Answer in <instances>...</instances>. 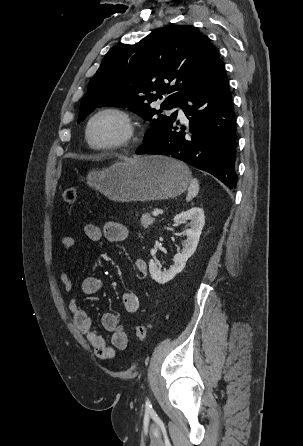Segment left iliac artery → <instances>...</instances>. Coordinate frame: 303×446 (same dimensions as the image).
<instances>
[{"label":"left iliac artery","instance_id":"1","mask_svg":"<svg viewBox=\"0 0 303 446\" xmlns=\"http://www.w3.org/2000/svg\"><path fill=\"white\" fill-rule=\"evenodd\" d=\"M145 408H146L147 412H152L153 411L151 402H150V400L148 398L146 399Z\"/></svg>","mask_w":303,"mask_h":446}]
</instances>
